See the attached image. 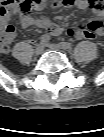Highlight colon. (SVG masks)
<instances>
[{
    "label": "colon",
    "mask_w": 104,
    "mask_h": 137,
    "mask_svg": "<svg viewBox=\"0 0 104 137\" xmlns=\"http://www.w3.org/2000/svg\"><path fill=\"white\" fill-rule=\"evenodd\" d=\"M4 4L12 5L16 7L18 10L26 12L29 11L31 8L28 4V0H5ZM88 27L91 29H100L102 28V23L100 21H94L91 24H88ZM14 27L12 25L2 26L1 25V38L0 41H2L6 36L12 34L14 32ZM66 33L69 36H72L73 31L67 30Z\"/></svg>",
    "instance_id": "1"
}]
</instances>
